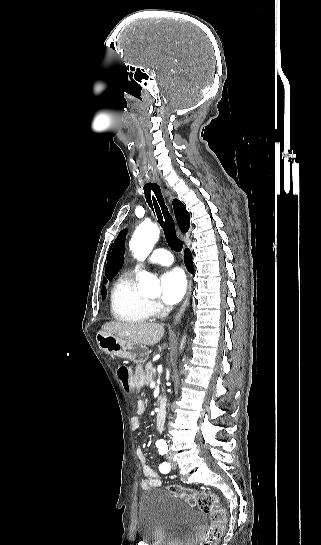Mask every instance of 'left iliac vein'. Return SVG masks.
Instances as JSON below:
<instances>
[{
	"mask_svg": "<svg viewBox=\"0 0 321 545\" xmlns=\"http://www.w3.org/2000/svg\"><path fill=\"white\" fill-rule=\"evenodd\" d=\"M167 459H168V462L171 466L172 469H176L177 468V463L174 461V459L172 458L171 454H168L167 455Z\"/></svg>",
	"mask_w": 321,
	"mask_h": 545,
	"instance_id": "obj_1",
	"label": "left iliac vein"
}]
</instances>
